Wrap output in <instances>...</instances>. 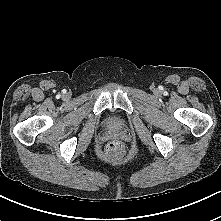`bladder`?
Segmentation results:
<instances>
[{
    "mask_svg": "<svg viewBox=\"0 0 221 221\" xmlns=\"http://www.w3.org/2000/svg\"><path fill=\"white\" fill-rule=\"evenodd\" d=\"M105 124L111 128H121L124 125V121L115 114H109L105 119Z\"/></svg>",
    "mask_w": 221,
    "mask_h": 221,
    "instance_id": "31cf9c89",
    "label": "bladder"
}]
</instances>
